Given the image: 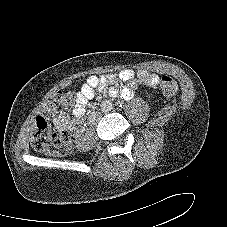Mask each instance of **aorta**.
<instances>
[{
	"instance_id": "1",
	"label": "aorta",
	"mask_w": 227,
	"mask_h": 227,
	"mask_svg": "<svg viewBox=\"0 0 227 227\" xmlns=\"http://www.w3.org/2000/svg\"><path fill=\"white\" fill-rule=\"evenodd\" d=\"M101 109L104 112L110 111L112 109V103L110 101H106L104 105L101 104Z\"/></svg>"
}]
</instances>
